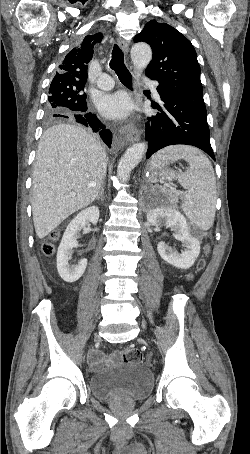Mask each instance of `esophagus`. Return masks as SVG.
<instances>
[{
  "mask_svg": "<svg viewBox=\"0 0 250 454\" xmlns=\"http://www.w3.org/2000/svg\"><path fill=\"white\" fill-rule=\"evenodd\" d=\"M117 42L123 52L127 54L129 51V43L120 37L118 38ZM120 132L129 142H136L140 139V132L133 124H128L121 127Z\"/></svg>",
  "mask_w": 250,
  "mask_h": 454,
  "instance_id": "34e87169",
  "label": "esophagus"
}]
</instances>
